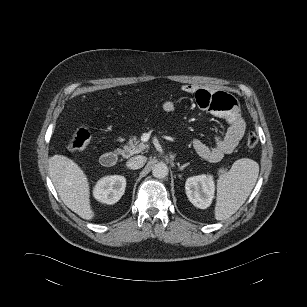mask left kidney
<instances>
[{
	"instance_id": "obj_1",
	"label": "left kidney",
	"mask_w": 307,
	"mask_h": 307,
	"mask_svg": "<svg viewBox=\"0 0 307 307\" xmlns=\"http://www.w3.org/2000/svg\"><path fill=\"white\" fill-rule=\"evenodd\" d=\"M186 195L197 208L206 209L212 203L215 183L212 175H197L190 177L185 183Z\"/></svg>"
}]
</instances>
